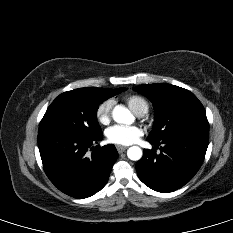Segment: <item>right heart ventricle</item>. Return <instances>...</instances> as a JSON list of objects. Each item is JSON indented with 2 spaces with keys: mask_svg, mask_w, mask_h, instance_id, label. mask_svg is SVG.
Here are the masks:
<instances>
[{
  "mask_svg": "<svg viewBox=\"0 0 233 233\" xmlns=\"http://www.w3.org/2000/svg\"><path fill=\"white\" fill-rule=\"evenodd\" d=\"M128 106L131 108V110L137 114L140 111H146L148 110V103L147 101L138 95H130L126 98Z\"/></svg>",
  "mask_w": 233,
  "mask_h": 233,
  "instance_id": "e07e8e85",
  "label": "right heart ventricle"
}]
</instances>
